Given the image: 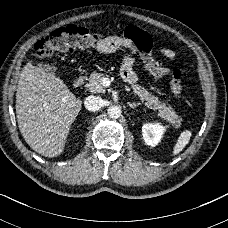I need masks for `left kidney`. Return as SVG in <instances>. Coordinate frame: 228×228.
<instances>
[{"instance_id": "left-kidney-1", "label": "left kidney", "mask_w": 228, "mask_h": 228, "mask_svg": "<svg viewBox=\"0 0 228 228\" xmlns=\"http://www.w3.org/2000/svg\"><path fill=\"white\" fill-rule=\"evenodd\" d=\"M166 126L161 123H145L142 126V135L145 143L155 147L161 141L163 134L166 132Z\"/></svg>"}]
</instances>
